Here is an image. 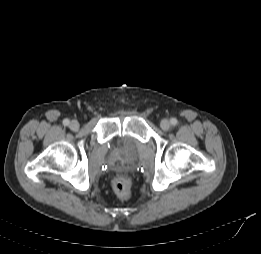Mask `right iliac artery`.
I'll list each match as a JSON object with an SVG mask.
<instances>
[{
	"instance_id": "82829eb1",
	"label": "right iliac artery",
	"mask_w": 261,
	"mask_h": 254,
	"mask_svg": "<svg viewBox=\"0 0 261 254\" xmlns=\"http://www.w3.org/2000/svg\"><path fill=\"white\" fill-rule=\"evenodd\" d=\"M69 123H70V121H69L68 119H64V120H63V124H64L65 126H68Z\"/></svg>"
}]
</instances>
